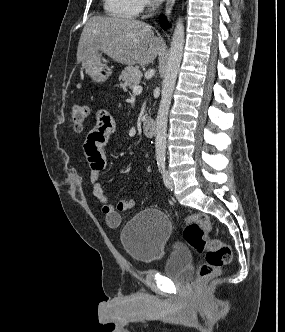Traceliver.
<instances>
[{"label": "liver", "instance_id": "6515ba94", "mask_svg": "<svg viewBox=\"0 0 285 332\" xmlns=\"http://www.w3.org/2000/svg\"><path fill=\"white\" fill-rule=\"evenodd\" d=\"M162 41L154 36L152 27L136 19L93 16L83 28L77 62H83L92 53L102 51L125 65L151 63L158 55Z\"/></svg>", "mask_w": 285, "mask_h": 332}]
</instances>
